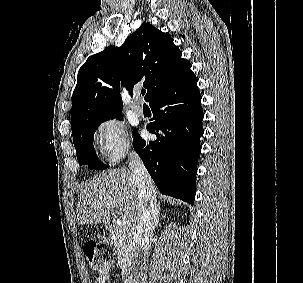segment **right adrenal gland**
Instances as JSON below:
<instances>
[{"instance_id": "obj_1", "label": "right adrenal gland", "mask_w": 303, "mask_h": 283, "mask_svg": "<svg viewBox=\"0 0 303 283\" xmlns=\"http://www.w3.org/2000/svg\"><path fill=\"white\" fill-rule=\"evenodd\" d=\"M159 217H160V208H159V205H158V211L156 213V217H155V225H154V228L158 227L159 225Z\"/></svg>"}]
</instances>
